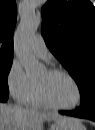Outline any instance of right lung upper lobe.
Listing matches in <instances>:
<instances>
[{
  "instance_id": "obj_1",
  "label": "right lung upper lobe",
  "mask_w": 95,
  "mask_h": 130,
  "mask_svg": "<svg viewBox=\"0 0 95 130\" xmlns=\"http://www.w3.org/2000/svg\"><path fill=\"white\" fill-rule=\"evenodd\" d=\"M16 20L15 0H0V60L13 59V32Z\"/></svg>"
}]
</instances>
